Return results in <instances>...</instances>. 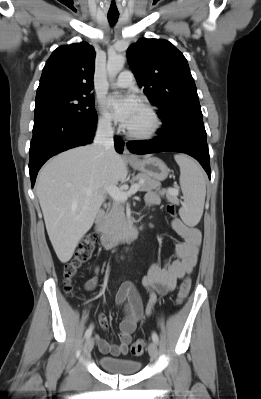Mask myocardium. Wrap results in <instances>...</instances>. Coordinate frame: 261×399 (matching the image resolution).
Instances as JSON below:
<instances>
[{
	"mask_svg": "<svg viewBox=\"0 0 261 399\" xmlns=\"http://www.w3.org/2000/svg\"><path fill=\"white\" fill-rule=\"evenodd\" d=\"M142 106L151 119L150 127L141 132L131 131L128 128L126 129L127 136L137 140L150 139L154 137L162 128V119L156 109L147 103L143 104Z\"/></svg>",
	"mask_w": 261,
	"mask_h": 399,
	"instance_id": "myocardium-1",
	"label": "myocardium"
}]
</instances>
